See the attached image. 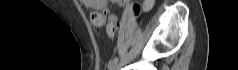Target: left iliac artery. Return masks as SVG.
I'll return each mask as SVG.
<instances>
[{"label":"left iliac artery","mask_w":238,"mask_h":70,"mask_svg":"<svg viewBox=\"0 0 238 70\" xmlns=\"http://www.w3.org/2000/svg\"><path fill=\"white\" fill-rule=\"evenodd\" d=\"M141 37H142V34H141V33H136V34H135V37H134V39H133L134 41H131V42H130V45H131V46H128V47H127V50H128V51H131L132 48H133L132 46L135 45V42H139V40H140L139 38H141ZM117 62H118V58H117V57L113 58L112 60L109 61V63H108V68L113 67Z\"/></svg>","instance_id":"44dca946"}]
</instances>
